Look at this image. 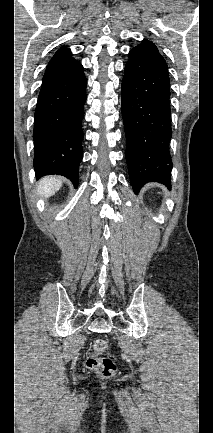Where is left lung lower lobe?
Wrapping results in <instances>:
<instances>
[{"instance_id":"0a47b994","label":"left lung lower lobe","mask_w":213,"mask_h":433,"mask_svg":"<svg viewBox=\"0 0 213 433\" xmlns=\"http://www.w3.org/2000/svg\"><path fill=\"white\" fill-rule=\"evenodd\" d=\"M169 87L168 66L161 55L140 47L129 52L121 99L126 161L135 193L148 182L171 186Z\"/></svg>"}]
</instances>
